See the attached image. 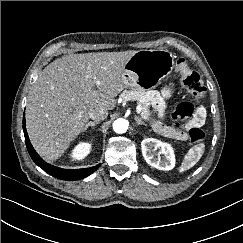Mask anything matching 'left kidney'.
Listing matches in <instances>:
<instances>
[{
  "label": "left kidney",
  "mask_w": 243,
  "mask_h": 243,
  "mask_svg": "<svg viewBox=\"0 0 243 243\" xmlns=\"http://www.w3.org/2000/svg\"><path fill=\"white\" fill-rule=\"evenodd\" d=\"M142 155L146 162L159 170L169 171L175 166V155L170 144L158 139L146 138L141 142Z\"/></svg>",
  "instance_id": "obj_1"
}]
</instances>
